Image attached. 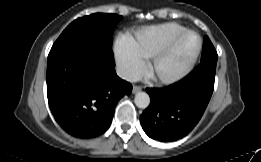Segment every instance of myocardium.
Here are the masks:
<instances>
[{"instance_id":"f54148a6","label":"myocardium","mask_w":261,"mask_h":162,"mask_svg":"<svg viewBox=\"0 0 261 162\" xmlns=\"http://www.w3.org/2000/svg\"><path fill=\"white\" fill-rule=\"evenodd\" d=\"M195 34L198 38V45L190 57V59L186 62V64L177 72L169 75H161L155 73V67L157 64L166 57L174 48V46L177 44V42L184 37L187 34ZM202 49V38L199 35L198 32L190 29H186L178 34H176L174 37H172L162 48H160L157 52H155L150 58L147 63V74L156 82H159L161 84H173L181 79H183L185 76H187L191 70L193 69L199 55Z\"/></svg>"}]
</instances>
